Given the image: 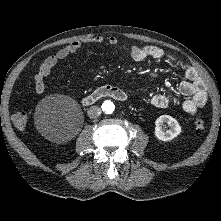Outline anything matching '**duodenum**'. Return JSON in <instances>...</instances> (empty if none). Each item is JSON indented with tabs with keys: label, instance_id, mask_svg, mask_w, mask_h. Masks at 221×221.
I'll list each match as a JSON object with an SVG mask.
<instances>
[{
	"label": "duodenum",
	"instance_id": "obj_1",
	"mask_svg": "<svg viewBox=\"0 0 221 221\" xmlns=\"http://www.w3.org/2000/svg\"><path fill=\"white\" fill-rule=\"evenodd\" d=\"M105 97H110L117 101H122V102L127 100V95L121 88L111 85H105L97 88L89 95L84 97L82 102L84 105H92L99 99Z\"/></svg>",
	"mask_w": 221,
	"mask_h": 221
}]
</instances>
